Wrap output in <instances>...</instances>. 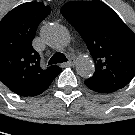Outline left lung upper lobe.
<instances>
[{
    "mask_svg": "<svg viewBox=\"0 0 135 135\" xmlns=\"http://www.w3.org/2000/svg\"><path fill=\"white\" fill-rule=\"evenodd\" d=\"M61 12L95 61V73L86 81L112 92L125 87L135 76V34L99 0L71 1Z\"/></svg>",
    "mask_w": 135,
    "mask_h": 135,
    "instance_id": "obj_1",
    "label": "left lung upper lobe"
}]
</instances>
